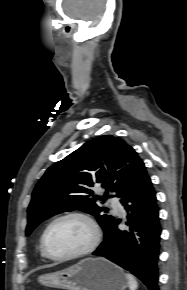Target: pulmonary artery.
<instances>
[{"label":"pulmonary artery","instance_id":"pulmonary-artery-1","mask_svg":"<svg viewBox=\"0 0 187 290\" xmlns=\"http://www.w3.org/2000/svg\"><path fill=\"white\" fill-rule=\"evenodd\" d=\"M111 204H112V207L114 208V210H115L117 213H123V207H122V205L120 204L119 201H117V200H112V201H111Z\"/></svg>","mask_w":187,"mask_h":290}]
</instances>
